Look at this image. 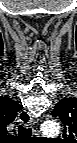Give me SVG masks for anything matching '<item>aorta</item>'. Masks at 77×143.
Instances as JSON below:
<instances>
[{"label": "aorta", "instance_id": "1", "mask_svg": "<svg viewBox=\"0 0 77 143\" xmlns=\"http://www.w3.org/2000/svg\"><path fill=\"white\" fill-rule=\"evenodd\" d=\"M41 131L47 136H56L60 132V125L54 121H46L41 125Z\"/></svg>", "mask_w": 77, "mask_h": 143}]
</instances>
